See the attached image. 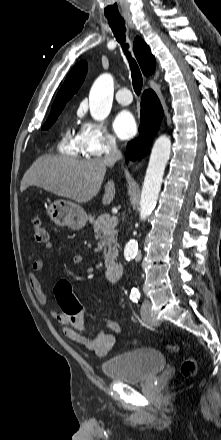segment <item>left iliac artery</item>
Returning <instances> with one entry per match:
<instances>
[{"mask_svg":"<svg viewBox=\"0 0 221 440\" xmlns=\"http://www.w3.org/2000/svg\"><path fill=\"white\" fill-rule=\"evenodd\" d=\"M131 299L135 302H138V300L140 299V294L131 296Z\"/></svg>","mask_w":221,"mask_h":440,"instance_id":"obj_1","label":"left iliac artery"}]
</instances>
